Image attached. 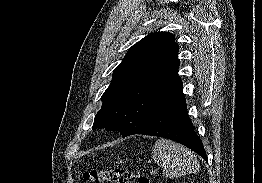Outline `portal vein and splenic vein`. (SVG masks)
<instances>
[{"label":"portal vein and splenic vein","instance_id":"obj_1","mask_svg":"<svg viewBox=\"0 0 262 183\" xmlns=\"http://www.w3.org/2000/svg\"><path fill=\"white\" fill-rule=\"evenodd\" d=\"M151 173L155 175V174L158 173V171H157V170H154V171H152Z\"/></svg>","mask_w":262,"mask_h":183}]
</instances>
